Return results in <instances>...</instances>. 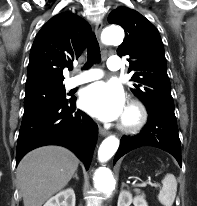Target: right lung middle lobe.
Returning <instances> with one entry per match:
<instances>
[{
  "mask_svg": "<svg viewBox=\"0 0 197 206\" xmlns=\"http://www.w3.org/2000/svg\"><path fill=\"white\" fill-rule=\"evenodd\" d=\"M67 101L64 86H41L26 89L24 114Z\"/></svg>",
  "mask_w": 197,
  "mask_h": 206,
  "instance_id": "obj_1",
  "label": "right lung middle lobe"
}]
</instances>
